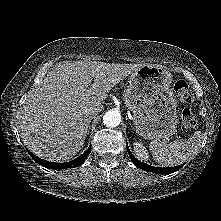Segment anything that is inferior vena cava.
<instances>
[{"label": "inferior vena cava", "mask_w": 221, "mask_h": 221, "mask_svg": "<svg viewBox=\"0 0 221 221\" xmlns=\"http://www.w3.org/2000/svg\"><path fill=\"white\" fill-rule=\"evenodd\" d=\"M99 112H100V109L98 108L89 109L88 111L89 118H92L93 116L97 115Z\"/></svg>", "instance_id": "obj_1"}]
</instances>
